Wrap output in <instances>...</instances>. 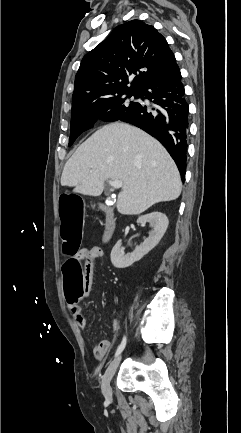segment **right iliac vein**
<instances>
[{
	"mask_svg": "<svg viewBox=\"0 0 241 433\" xmlns=\"http://www.w3.org/2000/svg\"><path fill=\"white\" fill-rule=\"evenodd\" d=\"M121 361V355L117 356L108 366V368L106 369L103 379H102V384H101V389H102V393L104 395V397L107 400H111L112 399V389L110 386V382L120 364Z\"/></svg>",
	"mask_w": 241,
	"mask_h": 433,
	"instance_id": "1",
	"label": "right iliac vein"
}]
</instances>
